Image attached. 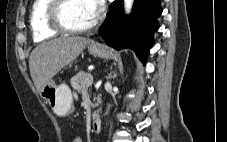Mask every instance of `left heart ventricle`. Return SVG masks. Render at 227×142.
I'll return each mask as SVG.
<instances>
[{"instance_id": "left-heart-ventricle-1", "label": "left heart ventricle", "mask_w": 227, "mask_h": 142, "mask_svg": "<svg viewBox=\"0 0 227 142\" xmlns=\"http://www.w3.org/2000/svg\"><path fill=\"white\" fill-rule=\"evenodd\" d=\"M85 0H70L64 9V20L71 27H83L94 21Z\"/></svg>"}]
</instances>
